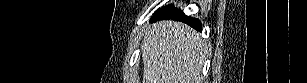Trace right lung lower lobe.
<instances>
[{
	"mask_svg": "<svg viewBox=\"0 0 307 83\" xmlns=\"http://www.w3.org/2000/svg\"><path fill=\"white\" fill-rule=\"evenodd\" d=\"M176 19L187 23L192 26L196 30L202 31V24L200 21L193 19L192 17L186 16L182 11L174 8L173 6H168L165 8L159 9L153 16L152 20L155 21L157 19Z\"/></svg>",
	"mask_w": 307,
	"mask_h": 83,
	"instance_id": "1",
	"label": "right lung lower lobe"
}]
</instances>
